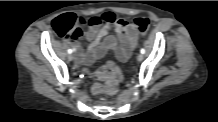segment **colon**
Returning a JSON list of instances; mask_svg holds the SVG:
<instances>
[{"mask_svg": "<svg viewBox=\"0 0 218 122\" xmlns=\"http://www.w3.org/2000/svg\"><path fill=\"white\" fill-rule=\"evenodd\" d=\"M79 24H81L79 16L67 14L56 18L53 22V27L58 35L70 40H76L82 35ZM134 25L138 34H144L149 28L150 21L146 17H141L135 20ZM81 72L88 74L90 66L83 64ZM93 77L96 81L104 83L103 87L98 82L95 83L93 86L95 92L103 89L108 94H114L118 90L119 82L122 80V73L114 60H107L104 66L94 72Z\"/></svg>", "mask_w": 218, "mask_h": 122, "instance_id": "5ec220e1", "label": "colon"}]
</instances>
